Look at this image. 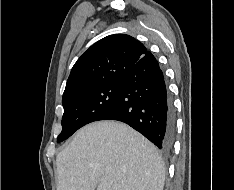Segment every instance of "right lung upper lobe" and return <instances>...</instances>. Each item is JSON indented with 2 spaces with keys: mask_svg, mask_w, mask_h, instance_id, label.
Returning <instances> with one entry per match:
<instances>
[{
  "mask_svg": "<svg viewBox=\"0 0 234 190\" xmlns=\"http://www.w3.org/2000/svg\"><path fill=\"white\" fill-rule=\"evenodd\" d=\"M147 52L140 41L129 35L114 34L99 40L74 64L63 100L81 91L121 81Z\"/></svg>",
  "mask_w": 234,
  "mask_h": 190,
  "instance_id": "obj_1",
  "label": "right lung upper lobe"
}]
</instances>
